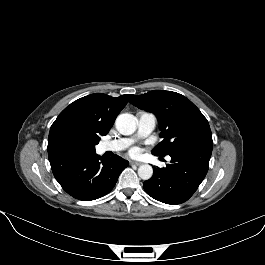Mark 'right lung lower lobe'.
<instances>
[{"mask_svg": "<svg viewBox=\"0 0 265 265\" xmlns=\"http://www.w3.org/2000/svg\"><path fill=\"white\" fill-rule=\"evenodd\" d=\"M52 172L71 196L83 201L100 198L115 186L128 161L114 155L102 159L95 151L57 148L48 152Z\"/></svg>", "mask_w": 265, "mask_h": 265, "instance_id": "98d812e1", "label": "right lung lower lobe"}]
</instances>
